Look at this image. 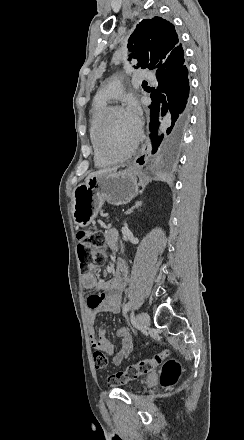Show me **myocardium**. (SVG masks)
<instances>
[{
    "mask_svg": "<svg viewBox=\"0 0 244 440\" xmlns=\"http://www.w3.org/2000/svg\"><path fill=\"white\" fill-rule=\"evenodd\" d=\"M116 110H124V108L122 107V106H120V105H113V106H109V107H107L106 109H105V111H104V114H103V119H102V122L99 124V126L97 127L99 130H101V132H98V141H99V147L97 146L95 149L98 151L99 150V152L101 153V154H109V156H113V155H116L117 154V149H108L106 146H105V143H104V138L103 137H105L107 134V132H108V129L107 128H105V126L107 125V124H110V117H111V114L114 112V111H116ZM130 144V142L128 141V143H127V145H129ZM122 146H124V145H121V146H116V148H119V147H122ZM116 157V159H117V156H115ZM126 159V157H121V158H119V160H125Z\"/></svg>",
    "mask_w": 244,
    "mask_h": 440,
    "instance_id": "obj_1",
    "label": "myocardium"
}]
</instances>
